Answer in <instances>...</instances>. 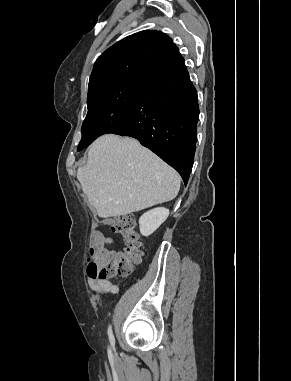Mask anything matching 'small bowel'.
<instances>
[{
	"label": "small bowel",
	"instance_id": "obj_1",
	"mask_svg": "<svg viewBox=\"0 0 291 381\" xmlns=\"http://www.w3.org/2000/svg\"><path fill=\"white\" fill-rule=\"evenodd\" d=\"M92 238H93V247H92L93 249L105 247V245L110 242V239L107 238L102 232H99V231H95L93 233ZM89 285L95 291H100V292H113L116 290L115 285H113L110 281L106 279H101V278L91 277L89 279Z\"/></svg>",
	"mask_w": 291,
	"mask_h": 381
}]
</instances>
